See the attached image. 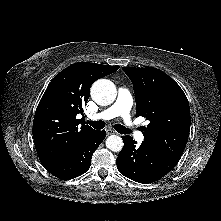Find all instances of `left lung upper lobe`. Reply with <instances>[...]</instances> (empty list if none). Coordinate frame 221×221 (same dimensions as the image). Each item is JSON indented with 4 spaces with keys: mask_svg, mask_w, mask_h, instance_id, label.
Returning a JSON list of instances; mask_svg holds the SVG:
<instances>
[{
    "mask_svg": "<svg viewBox=\"0 0 221 221\" xmlns=\"http://www.w3.org/2000/svg\"><path fill=\"white\" fill-rule=\"evenodd\" d=\"M135 91L136 117L150 121L142 143L179 161L190 131L189 102L180 86L157 68L122 67Z\"/></svg>",
    "mask_w": 221,
    "mask_h": 221,
    "instance_id": "1",
    "label": "left lung upper lobe"
}]
</instances>
